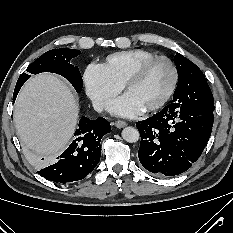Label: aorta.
<instances>
[{
  "label": "aorta",
  "mask_w": 233,
  "mask_h": 233,
  "mask_svg": "<svg viewBox=\"0 0 233 233\" xmlns=\"http://www.w3.org/2000/svg\"><path fill=\"white\" fill-rule=\"evenodd\" d=\"M122 137L126 142L134 143L139 140L140 134L136 128L128 126L122 130Z\"/></svg>",
  "instance_id": "aorta-1"
}]
</instances>
